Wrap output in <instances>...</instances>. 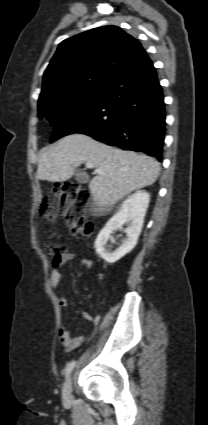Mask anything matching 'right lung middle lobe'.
I'll list each match as a JSON object with an SVG mask.
<instances>
[{
    "mask_svg": "<svg viewBox=\"0 0 208 425\" xmlns=\"http://www.w3.org/2000/svg\"><path fill=\"white\" fill-rule=\"evenodd\" d=\"M106 89H84L66 95L38 102V116L56 125L65 116L76 114L98 103Z\"/></svg>",
    "mask_w": 208,
    "mask_h": 425,
    "instance_id": "right-lung-middle-lobe-1",
    "label": "right lung middle lobe"
}]
</instances>
